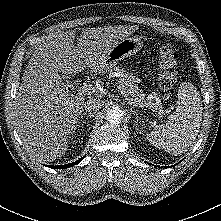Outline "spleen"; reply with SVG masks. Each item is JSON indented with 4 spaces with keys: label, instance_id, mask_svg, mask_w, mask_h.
I'll use <instances>...</instances> for the list:
<instances>
[{
    "label": "spleen",
    "instance_id": "obj_1",
    "mask_svg": "<svg viewBox=\"0 0 221 221\" xmlns=\"http://www.w3.org/2000/svg\"><path fill=\"white\" fill-rule=\"evenodd\" d=\"M202 110L201 96L196 87L189 82L182 83L175 111L164 125L156 126L147 134V139L175 156L185 153L198 135Z\"/></svg>",
    "mask_w": 221,
    "mask_h": 221
}]
</instances>
